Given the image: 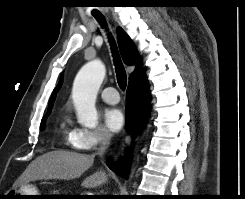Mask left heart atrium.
I'll return each mask as SVG.
<instances>
[{"instance_id": "left-heart-atrium-1", "label": "left heart atrium", "mask_w": 245, "mask_h": 199, "mask_svg": "<svg viewBox=\"0 0 245 199\" xmlns=\"http://www.w3.org/2000/svg\"><path fill=\"white\" fill-rule=\"evenodd\" d=\"M106 127L112 132H118L124 125V116L121 110L117 108L107 109L104 114Z\"/></svg>"}]
</instances>
